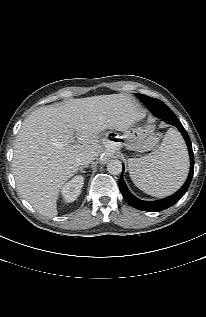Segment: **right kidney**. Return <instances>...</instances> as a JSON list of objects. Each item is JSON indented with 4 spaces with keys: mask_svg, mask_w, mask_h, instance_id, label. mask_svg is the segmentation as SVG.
Masks as SVG:
<instances>
[{
    "mask_svg": "<svg viewBox=\"0 0 206 317\" xmlns=\"http://www.w3.org/2000/svg\"><path fill=\"white\" fill-rule=\"evenodd\" d=\"M83 184L84 178L82 176H75L69 182L65 183L61 190L65 202L70 203L75 201L80 195Z\"/></svg>",
    "mask_w": 206,
    "mask_h": 317,
    "instance_id": "right-kidney-1",
    "label": "right kidney"
}]
</instances>
